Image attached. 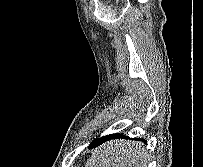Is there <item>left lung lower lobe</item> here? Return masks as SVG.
I'll return each mask as SVG.
<instances>
[{
  "mask_svg": "<svg viewBox=\"0 0 203 167\" xmlns=\"http://www.w3.org/2000/svg\"><path fill=\"white\" fill-rule=\"evenodd\" d=\"M120 138H121V139H124V138H127V139H128V137L122 136L121 134H110V135H106V136H103V137H101V138L95 139L94 141L91 142V144H90L89 147H90V148H95V147H97V146H99V145L105 143L106 141H110V140H112V139H120ZM132 140L142 141V142H145V143H146L145 139L134 138V139H132ZM135 152H136V154H137V152H140V151H134L133 153H135Z\"/></svg>",
  "mask_w": 203,
  "mask_h": 167,
  "instance_id": "left-lung-lower-lobe-1",
  "label": "left lung lower lobe"
}]
</instances>
